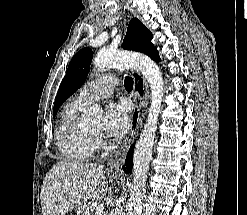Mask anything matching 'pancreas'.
<instances>
[{
  "mask_svg": "<svg viewBox=\"0 0 247 215\" xmlns=\"http://www.w3.org/2000/svg\"><path fill=\"white\" fill-rule=\"evenodd\" d=\"M99 205V201H92L87 205L82 206L79 209L81 215H95L96 207Z\"/></svg>",
  "mask_w": 247,
  "mask_h": 215,
  "instance_id": "cf45deb5",
  "label": "pancreas"
}]
</instances>
